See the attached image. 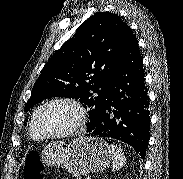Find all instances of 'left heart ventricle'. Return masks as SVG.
Returning a JSON list of instances; mask_svg holds the SVG:
<instances>
[{"label": "left heart ventricle", "mask_w": 183, "mask_h": 179, "mask_svg": "<svg viewBox=\"0 0 183 179\" xmlns=\"http://www.w3.org/2000/svg\"><path fill=\"white\" fill-rule=\"evenodd\" d=\"M77 121L76 110L64 103L49 106L41 118V127L45 133H61L72 128Z\"/></svg>", "instance_id": "left-heart-ventricle-1"}]
</instances>
